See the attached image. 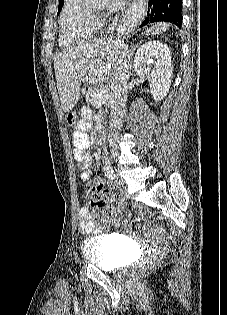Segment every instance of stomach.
I'll list each match as a JSON object with an SVG mask.
<instances>
[{
  "label": "stomach",
  "mask_w": 227,
  "mask_h": 315,
  "mask_svg": "<svg viewBox=\"0 0 227 315\" xmlns=\"http://www.w3.org/2000/svg\"><path fill=\"white\" fill-rule=\"evenodd\" d=\"M97 73H98L97 68H87L86 71H84L83 73L84 80H80L79 82L81 91H90L91 89L90 82H94ZM72 115L74 118L76 117L74 113H72Z\"/></svg>",
  "instance_id": "obj_1"
}]
</instances>
